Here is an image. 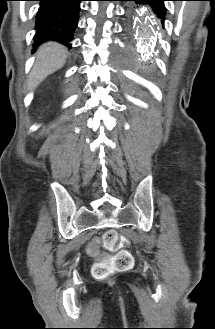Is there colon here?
I'll list each match as a JSON object with an SVG mask.
<instances>
[{
    "mask_svg": "<svg viewBox=\"0 0 215 329\" xmlns=\"http://www.w3.org/2000/svg\"><path fill=\"white\" fill-rule=\"evenodd\" d=\"M102 243L107 250H117L125 244V240L120 239L115 231L109 230L103 235ZM89 253L96 258L93 274L99 280L108 277L115 271L126 270L133 264V257L127 250H120L110 256L106 252L97 250V244L93 243L89 248Z\"/></svg>",
    "mask_w": 215,
    "mask_h": 329,
    "instance_id": "5ec220e1",
    "label": "colon"
}]
</instances>
